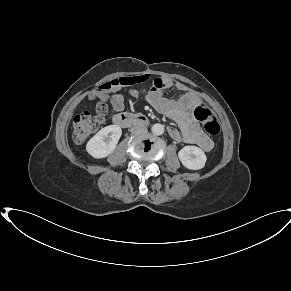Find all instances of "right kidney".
I'll return each mask as SVG.
<instances>
[{
	"instance_id": "right-kidney-1",
	"label": "right kidney",
	"mask_w": 291,
	"mask_h": 291,
	"mask_svg": "<svg viewBox=\"0 0 291 291\" xmlns=\"http://www.w3.org/2000/svg\"><path fill=\"white\" fill-rule=\"evenodd\" d=\"M121 135L118 125L106 126L88 141L86 151L93 158H105L115 150Z\"/></svg>"
}]
</instances>
